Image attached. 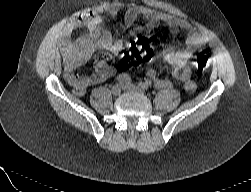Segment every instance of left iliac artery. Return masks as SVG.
<instances>
[{
  "label": "left iliac artery",
  "instance_id": "left-iliac-artery-1",
  "mask_svg": "<svg viewBox=\"0 0 251 192\" xmlns=\"http://www.w3.org/2000/svg\"><path fill=\"white\" fill-rule=\"evenodd\" d=\"M138 86L143 90H147L151 86V82L150 81L140 82Z\"/></svg>",
  "mask_w": 251,
  "mask_h": 192
}]
</instances>
